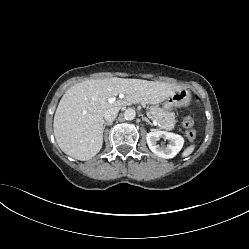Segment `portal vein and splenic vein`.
<instances>
[{"label": "portal vein and splenic vein", "mask_w": 249, "mask_h": 249, "mask_svg": "<svg viewBox=\"0 0 249 249\" xmlns=\"http://www.w3.org/2000/svg\"><path fill=\"white\" fill-rule=\"evenodd\" d=\"M123 97H124L123 94H120V95H119V98H123ZM115 101H116V98H115V97H111V98L108 99V102H109L110 104H113ZM153 124H154L155 126L158 125V123H157V121H156L155 119H153Z\"/></svg>", "instance_id": "1"}]
</instances>
